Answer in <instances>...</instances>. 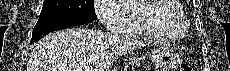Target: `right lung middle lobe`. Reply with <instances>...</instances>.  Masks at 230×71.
Masks as SVG:
<instances>
[{"label":"right lung middle lobe","instance_id":"dd1d6c3e","mask_svg":"<svg viewBox=\"0 0 230 71\" xmlns=\"http://www.w3.org/2000/svg\"><path fill=\"white\" fill-rule=\"evenodd\" d=\"M64 17L96 19L94 0H44L40 21Z\"/></svg>","mask_w":230,"mask_h":71}]
</instances>
